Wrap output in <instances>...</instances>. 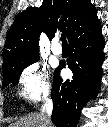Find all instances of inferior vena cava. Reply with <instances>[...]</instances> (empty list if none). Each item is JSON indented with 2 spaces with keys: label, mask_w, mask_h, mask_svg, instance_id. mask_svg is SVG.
<instances>
[{
  "label": "inferior vena cava",
  "mask_w": 108,
  "mask_h": 127,
  "mask_svg": "<svg viewBox=\"0 0 108 127\" xmlns=\"http://www.w3.org/2000/svg\"><path fill=\"white\" fill-rule=\"evenodd\" d=\"M53 111V102L52 99L48 96L45 98V104L41 108V115L45 119L47 127H51V115Z\"/></svg>",
  "instance_id": "602c4592"
}]
</instances>
